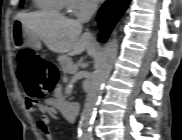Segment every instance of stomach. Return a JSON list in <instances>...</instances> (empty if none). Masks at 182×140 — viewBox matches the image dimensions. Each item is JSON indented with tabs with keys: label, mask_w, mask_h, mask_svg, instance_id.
<instances>
[{
	"label": "stomach",
	"mask_w": 182,
	"mask_h": 140,
	"mask_svg": "<svg viewBox=\"0 0 182 140\" xmlns=\"http://www.w3.org/2000/svg\"><path fill=\"white\" fill-rule=\"evenodd\" d=\"M13 27V42L17 47H30L38 49L41 45L40 39L35 36V31H26V25L23 22L15 21L11 23Z\"/></svg>",
	"instance_id": "obj_1"
}]
</instances>
